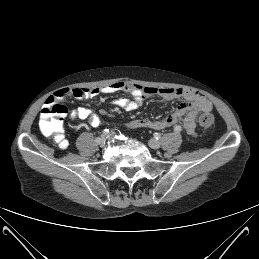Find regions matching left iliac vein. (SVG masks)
Masks as SVG:
<instances>
[{
    "instance_id": "left-iliac-vein-1",
    "label": "left iliac vein",
    "mask_w": 259,
    "mask_h": 259,
    "mask_svg": "<svg viewBox=\"0 0 259 259\" xmlns=\"http://www.w3.org/2000/svg\"><path fill=\"white\" fill-rule=\"evenodd\" d=\"M148 144L152 149H159L161 146V143L156 139H150Z\"/></svg>"
}]
</instances>
